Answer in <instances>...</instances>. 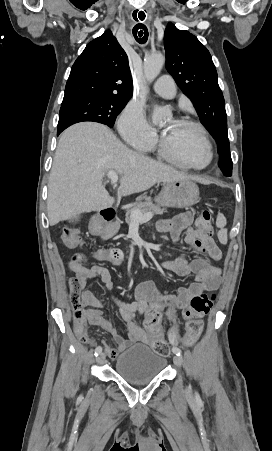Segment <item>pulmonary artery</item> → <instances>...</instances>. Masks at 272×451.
<instances>
[{
    "label": "pulmonary artery",
    "mask_w": 272,
    "mask_h": 451,
    "mask_svg": "<svg viewBox=\"0 0 272 451\" xmlns=\"http://www.w3.org/2000/svg\"><path fill=\"white\" fill-rule=\"evenodd\" d=\"M153 89L156 94L166 99H173L176 95V84L171 76H162L159 78Z\"/></svg>",
    "instance_id": "e3ab8cb5"
}]
</instances>
